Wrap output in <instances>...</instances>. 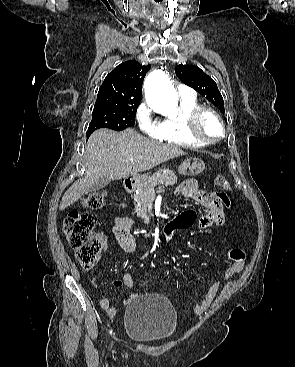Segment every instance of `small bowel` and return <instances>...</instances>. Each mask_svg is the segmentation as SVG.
Masks as SVG:
<instances>
[{
	"label": "small bowel",
	"instance_id": "c3829d8e",
	"mask_svg": "<svg viewBox=\"0 0 295 367\" xmlns=\"http://www.w3.org/2000/svg\"><path fill=\"white\" fill-rule=\"evenodd\" d=\"M176 195L180 197L192 198L198 204L206 208V213L202 215L198 221V225L201 229H206L214 225L219 226L224 222V212L222 208V202L220 197L214 196L211 192L202 190L197 182L193 179L183 181L176 189ZM132 225L131 218L127 216H116L113 221L112 233L121 247L125 252H132L137 248V241L130 228ZM102 246L107 247L106 239L100 235ZM243 264L233 263L232 266L226 272V278L232 277L234 274L240 272L243 269ZM140 275V274H139ZM95 286L99 285L98 280H94ZM114 286H126L129 289H134V280L130 273H125L119 280L113 282ZM220 289V283H212L203 299L192 308V312L195 315H202L211 305L217 292ZM137 297L134 292L128 298L124 300V305L129 304L133 299ZM100 306L106 311L109 317L114 318L117 314V308L112 306L110 300L103 298L100 301Z\"/></svg>",
	"mask_w": 295,
	"mask_h": 367
}]
</instances>
